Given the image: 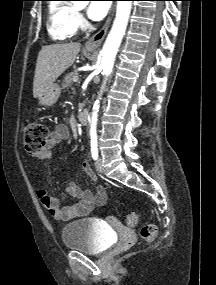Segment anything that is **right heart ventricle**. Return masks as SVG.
<instances>
[{"mask_svg": "<svg viewBox=\"0 0 216 285\" xmlns=\"http://www.w3.org/2000/svg\"><path fill=\"white\" fill-rule=\"evenodd\" d=\"M76 10L68 2L52 1L48 5L47 29L54 41H67L77 32Z\"/></svg>", "mask_w": 216, "mask_h": 285, "instance_id": "1", "label": "right heart ventricle"}]
</instances>
